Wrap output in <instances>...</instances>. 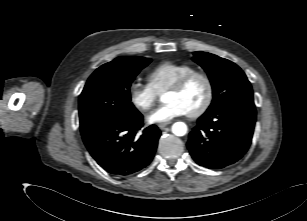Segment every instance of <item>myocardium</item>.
Segmentation results:
<instances>
[{
	"label": "myocardium",
	"instance_id": "myocardium-1",
	"mask_svg": "<svg viewBox=\"0 0 307 221\" xmlns=\"http://www.w3.org/2000/svg\"><path fill=\"white\" fill-rule=\"evenodd\" d=\"M195 78L203 79L206 84L207 93L202 105L195 111L187 113V116L192 119L199 118L204 115L212 105L214 99V83L210 75L206 72L195 70L182 76L167 89V92H180Z\"/></svg>",
	"mask_w": 307,
	"mask_h": 221
}]
</instances>
